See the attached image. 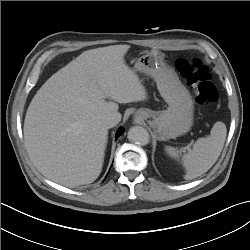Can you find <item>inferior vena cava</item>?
<instances>
[{"label": "inferior vena cava", "mask_w": 250, "mask_h": 250, "mask_svg": "<svg viewBox=\"0 0 250 250\" xmlns=\"http://www.w3.org/2000/svg\"><path fill=\"white\" fill-rule=\"evenodd\" d=\"M120 120H121L120 113H110L102 119V124L106 128H112V127L116 126Z\"/></svg>", "instance_id": "602c4592"}]
</instances>
